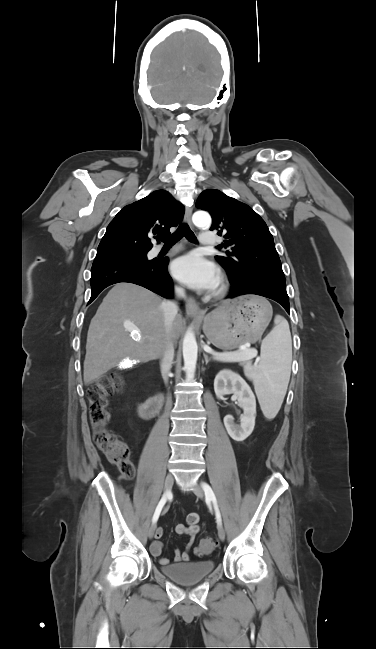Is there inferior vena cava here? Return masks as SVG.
Masks as SVG:
<instances>
[{"instance_id": "602c4592", "label": "inferior vena cava", "mask_w": 376, "mask_h": 649, "mask_svg": "<svg viewBox=\"0 0 376 649\" xmlns=\"http://www.w3.org/2000/svg\"><path fill=\"white\" fill-rule=\"evenodd\" d=\"M175 295L179 299H184L185 298V290L183 288L177 287L175 288ZM163 308V314H164V324L166 328V333H167V341H166V346L165 350L163 352V355L161 356V370L164 379H167V376L169 374L171 364L174 358V345L172 341L169 338V332L173 323V320L175 316L178 313V305L174 301H166L163 302L162 304Z\"/></svg>"}]
</instances>
